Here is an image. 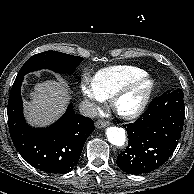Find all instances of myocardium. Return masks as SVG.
<instances>
[{"label": "myocardium", "mask_w": 194, "mask_h": 194, "mask_svg": "<svg viewBox=\"0 0 194 194\" xmlns=\"http://www.w3.org/2000/svg\"><path fill=\"white\" fill-rule=\"evenodd\" d=\"M148 82L149 87L144 93L139 105L133 109L132 111H122L119 108L120 100L134 90L137 86L141 85L142 83ZM156 88L155 80L147 73L130 80L129 82L122 85L118 90L110 98V103L113 111L122 119L125 120H132L138 118L143 112L146 110L152 95Z\"/></svg>", "instance_id": "f54148a6"}]
</instances>
